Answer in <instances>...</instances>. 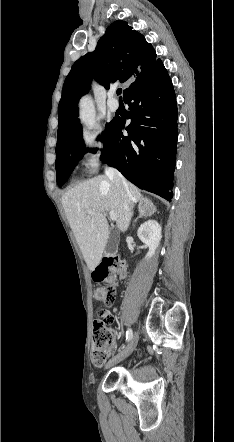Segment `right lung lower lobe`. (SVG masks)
Wrapping results in <instances>:
<instances>
[{"label":"right lung lower lobe","mask_w":234,"mask_h":442,"mask_svg":"<svg viewBox=\"0 0 234 442\" xmlns=\"http://www.w3.org/2000/svg\"><path fill=\"white\" fill-rule=\"evenodd\" d=\"M129 105L124 121L115 119L101 159L116 167L130 182L168 201L173 193L176 161L177 106L173 85L163 63L134 81L124 95Z\"/></svg>","instance_id":"right-lung-lower-lobe-1"}]
</instances>
